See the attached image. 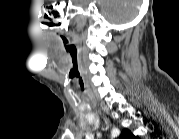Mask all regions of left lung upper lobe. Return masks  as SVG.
I'll list each match as a JSON object with an SVG mask.
<instances>
[{
  "mask_svg": "<svg viewBox=\"0 0 179 139\" xmlns=\"http://www.w3.org/2000/svg\"><path fill=\"white\" fill-rule=\"evenodd\" d=\"M121 138H126V139H134L135 136L129 131V130H124L122 133H121Z\"/></svg>",
  "mask_w": 179,
  "mask_h": 139,
  "instance_id": "left-lung-upper-lobe-1",
  "label": "left lung upper lobe"
}]
</instances>
